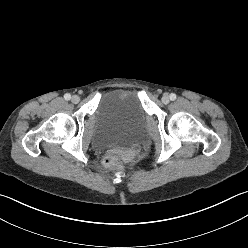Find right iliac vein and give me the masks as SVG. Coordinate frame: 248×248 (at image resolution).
<instances>
[{"mask_svg":"<svg viewBox=\"0 0 248 248\" xmlns=\"http://www.w3.org/2000/svg\"><path fill=\"white\" fill-rule=\"evenodd\" d=\"M71 101L77 104L80 101V97L78 95H73Z\"/></svg>","mask_w":248,"mask_h":248,"instance_id":"63e3f726","label":"right iliac vein"}]
</instances>
